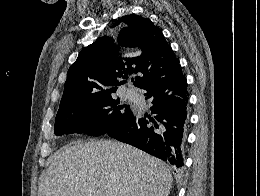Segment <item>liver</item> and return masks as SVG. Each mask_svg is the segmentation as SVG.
Segmentation results:
<instances>
[{
  "label": "liver",
  "instance_id": "1",
  "mask_svg": "<svg viewBox=\"0 0 260 196\" xmlns=\"http://www.w3.org/2000/svg\"><path fill=\"white\" fill-rule=\"evenodd\" d=\"M165 162L122 142H74L41 178L38 196H169Z\"/></svg>",
  "mask_w": 260,
  "mask_h": 196
}]
</instances>
